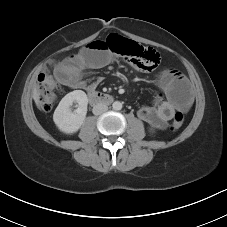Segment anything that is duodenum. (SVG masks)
<instances>
[{
    "label": "duodenum",
    "mask_w": 227,
    "mask_h": 227,
    "mask_svg": "<svg viewBox=\"0 0 227 227\" xmlns=\"http://www.w3.org/2000/svg\"><path fill=\"white\" fill-rule=\"evenodd\" d=\"M88 97H89V101L95 105L109 104L113 102V97L106 93L92 91V92H89Z\"/></svg>",
    "instance_id": "1"
}]
</instances>
